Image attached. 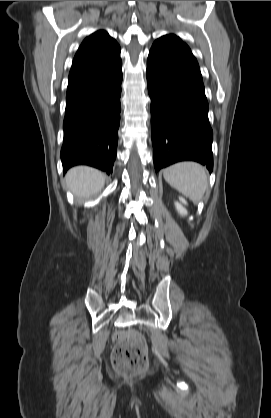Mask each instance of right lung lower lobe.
Masks as SVG:
<instances>
[{
	"instance_id": "right-lung-lower-lobe-1",
	"label": "right lung lower lobe",
	"mask_w": 271,
	"mask_h": 418,
	"mask_svg": "<svg viewBox=\"0 0 271 418\" xmlns=\"http://www.w3.org/2000/svg\"><path fill=\"white\" fill-rule=\"evenodd\" d=\"M122 61L67 92L61 160L64 172L79 164L112 173L120 123Z\"/></svg>"
}]
</instances>
